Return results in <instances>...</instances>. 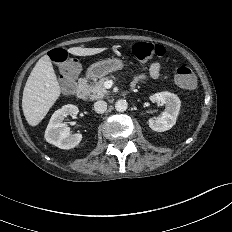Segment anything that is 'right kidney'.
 <instances>
[{
    "instance_id": "ca27d5eb",
    "label": "right kidney",
    "mask_w": 232,
    "mask_h": 232,
    "mask_svg": "<svg viewBox=\"0 0 232 232\" xmlns=\"http://www.w3.org/2000/svg\"><path fill=\"white\" fill-rule=\"evenodd\" d=\"M79 109L72 104L64 105L52 115L45 131V139L60 149H71L77 146L81 140V134H70V128L63 122L68 115H77Z\"/></svg>"
}]
</instances>
